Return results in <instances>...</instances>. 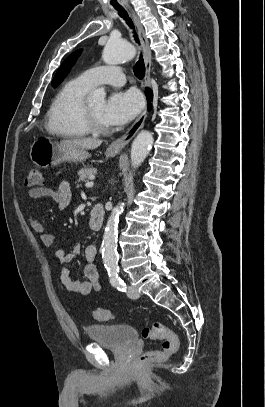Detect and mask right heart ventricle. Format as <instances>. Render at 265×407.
Wrapping results in <instances>:
<instances>
[{"instance_id":"1","label":"right heart ventricle","mask_w":265,"mask_h":407,"mask_svg":"<svg viewBox=\"0 0 265 407\" xmlns=\"http://www.w3.org/2000/svg\"><path fill=\"white\" fill-rule=\"evenodd\" d=\"M90 89L78 78L60 88L46 116L45 128L49 134L62 138H84L90 134L80 118L81 106Z\"/></svg>"}]
</instances>
